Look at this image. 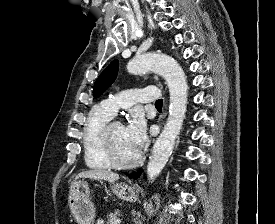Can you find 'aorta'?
Here are the masks:
<instances>
[{
    "mask_svg": "<svg viewBox=\"0 0 275 224\" xmlns=\"http://www.w3.org/2000/svg\"><path fill=\"white\" fill-rule=\"evenodd\" d=\"M127 69L132 74L155 71L166 80L169 88V116L154 143L147 166L148 179L153 181L165 167L183 124L188 100L186 76L173 58L161 54L136 56L128 63Z\"/></svg>",
    "mask_w": 275,
    "mask_h": 224,
    "instance_id": "1",
    "label": "aorta"
}]
</instances>
